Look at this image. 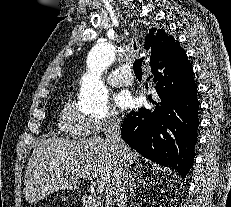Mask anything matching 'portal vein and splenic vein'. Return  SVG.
I'll return each instance as SVG.
<instances>
[{
	"label": "portal vein and splenic vein",
	"instance_id": "obj_1",
	"mask_svg": "<svg viewBox=\"0 0 231 207\" xmlns=\"http://www.w3.org/2000/svg\"><path fill=\"white\" fill-rule=\"evenodd\" d=\"M83 178L84 179H88V180H92V178L89 176V175H83ZM91 190L93 191V192H96L97 194H102L103 193V188L101 187V186H97V187H94V186H91Z\"/></svg>",
	"mask_w": 231,
	"mask_h": 207
}]
</instances>
